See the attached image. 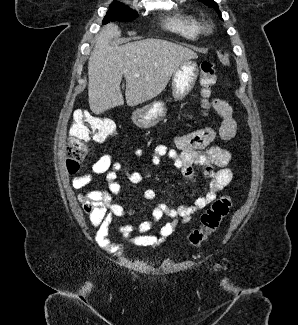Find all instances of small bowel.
<instances>
[{
  "instance_id": "obj_1",
  "label": "small bowel",
  "mask_w": 298,
  "mask_h": 325,
  "mask_svg": "<svg viewBox=\"0 0 298 325\" xmlns=\"http://www.w3.org/2000/svg\"><path fill=\"white\" fill-rule=\"evenodd\" d=\"M214 111L221 117L222 123L216 131L211 127L201 128L194 132L176 135L173 139L174 148L160 144L154 147L150 161L153 166H159L164 157L173 161L174 167L182 176L190 181L196 177L195 168H200L202 176L209 180V190L190 205H178L169 207L164 202H158L152 209L154 221L164 216L173 221L163 225L158 234H151L152 221H142L138 225L124 224L119 227L122 237L138 247L157 248L170 239L176 232L179 222L190 221L193 214L211 204L231 182L232 171L228 168L231 154L226 149L214 146L212 143L217 136L224 140H231L236 134V122L233 118V110L230 104L222 99L215 98L212 101ZM142 149H136L134 155L143 156ZM123 172L133 184L151 178V171L144 173L130 171L123 167L113 156L105 154L98 158L91 166L89 173L76 176L72 179L75 189L86 188L94 175H104L108 185L78 195V201L82 204L83 211L88 215L95 229L97 244L107 252L119 253L124 246L109 239V228L115 217L133 216L134 209L126 210L121 204L113 202V196L120 192V185L116 182L118 174ZM144 198L156 201V193L152 189L144 191Z\"/></svg>"
}]
</instances>
